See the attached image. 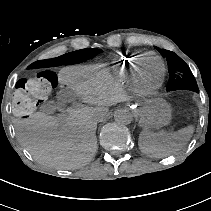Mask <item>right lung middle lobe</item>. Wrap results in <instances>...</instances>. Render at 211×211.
<instances>
[{
	"label": "right lung middle lobe",
	"mask_w": 211,
	"mask_h": 211,
	"mask_svg": "<svg viewBox=\"0 0 211 211\" xmlns=\"http://www.w3.org/2000/svg\"><path fill=\"white\" fill-rule=\"evenodd\" d=\"M100 49H82L74 52L67 53L58 58L60 64H75L86 61L95 57L97 54L101 53Z\"/></svg>",
	"instance_id": "1"
}]
</instances>
